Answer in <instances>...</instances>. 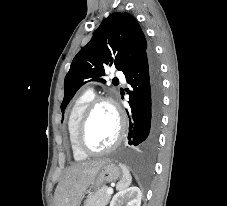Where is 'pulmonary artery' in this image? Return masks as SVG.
Here are the masks:
<instances>
[{"mask_svg": "<svg viewBox=\"0 0 227 206\" xmlns=\"http://www.w3.org/2000/svg\"><path fill=\"white\" fill-rule=\"evenodd\" d=\"M115 76L118 77V78H120V79H124V75L120 71L115 72ZM88 91H91V89H89Z\"/></svg>", "mask_w": 227, "mask_h": 206, "instance_id": "pulmonary-artery-1", "label": "pulmonary artery"}]
</instances>
